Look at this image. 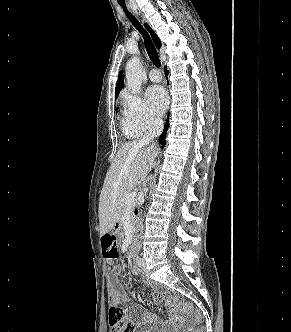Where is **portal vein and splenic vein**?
Wrapping results in <instances>:
<instances>
[{"label": "portal vein and splenic vein", "instance_id": "1", "mask_svg": "<svg viewBox=\"0 0 291 332\" xmlns=\"http://www.w3.org/2000/svg\"><path fill=\"white\" fill-rule=\"evenodd\" d=\"M136 196H137L136 192H130V193H128L126 195L125 203L127 205H131L135 201Z\"/></svg>", "mask_w": 291, "mask_h": 332}]
</instances>
